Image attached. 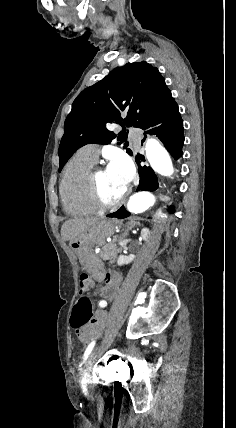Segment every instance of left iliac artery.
Returning <instances> with one entry per match:
<instances>
[{"mask_svg": "<svg viewBox=\"0 0 236 428\" xmlns=\"http://www.w3.org/2000/svg\"><path fill=\"white\" fill-rule=\"evenodd\" d=\"M99 305H100L101 307H105V306L107 305V303H106V301H101V302L99 303ZM94 345H95V341L91 342V343L88 345V347H87V349H86V351H85V353H84V357H83L84 362H85V360H87V358H88L89 354L91 353V351H92V349H93Z\"/></svg>", "mask_w": 236, "mask_h": 428, "instance_id": "obj_1", "label": "left iliac artery"}]
</instances>
